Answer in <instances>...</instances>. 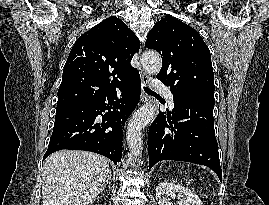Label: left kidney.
I'll return each instance as SVG.
<instances>
[{
	"label": "left kidney",
	"mask_w": 269,
	"mask_h": 205,
	"mask_svg": "<svg viewBox=\"0 0 269 205\" xmlns=\"http://www.w3.org/2000/svg\"><path fill=\"white\" fill-rule=\"evenodd\" d=\"M177 194L178 205H203L201 199L189 188L179 184L161 182L156 188V199L158 205H172L170 196Z\"/></svg>",
	"instance_id": "obj_1"
}]
</instances>
